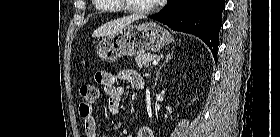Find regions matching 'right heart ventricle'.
I'll return each instance as SVG.
<instances>
[{"mask_svg":"<svg viewBox=\"0 0 280 137\" xmlns=\"http://www.w3.org/2000/svg\"><path fill=\"white\" fill-rule=\"evenodd\" d=\"M96 1V6L97 10L103 12V13H118L117 8L110 6L107 4L109 0H95Z\"/></svg>","mask_w":280,"mask_h":137,"instance_id":"right-heart-ventricle-1","label":"right heart ventricle"}]
</instances>
